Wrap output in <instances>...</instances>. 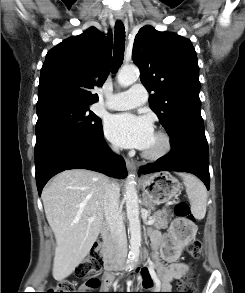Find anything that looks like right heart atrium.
<instances>
[{
	"label": "right heart atrium",
	"mask_w": 245,
	"mask_h": 293,
	"mask_svg": "<svg viewBox=\"0 0 245 293\" xmlns=\"http://www.w3.org/2000/svg\"><path fill=\"white\" fill-rule=\"evenodd\" d=\"M113 150H116V148H115V147H113Z\"/></svg>",
	"instance_id": "right-heart-atrium-1"
}]
</instances>
